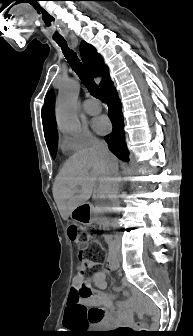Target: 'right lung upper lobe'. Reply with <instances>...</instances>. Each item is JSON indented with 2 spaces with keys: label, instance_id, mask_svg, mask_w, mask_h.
I'll list each match as a JSON object with an SVG mask.
<instances>
[{
  "label": "right lung upper lobe",
  "instance_id": "1",
  "mask_svg": "<svg viewBox=\"0 0 193 336\" xmlns=\"http://www.w3.org/2000/svg\"><path fill=\"white\" fill-rule=\"evenodd\" d=\"M80 52L83 63L91 71L93 76H103V79L99 84L102 90L106 82L110 80L108 68L104 65L101 56L97 53L96 49L92 45L87 44L84 41L81 42ZM54 103L55 100L53 92L49 91L45 97L42 108V122L46 142H49L55 137H58L54 116Z\"/></svg>",
  "mask_w": 193,
  "mask_h": 336
}]
</instances>
